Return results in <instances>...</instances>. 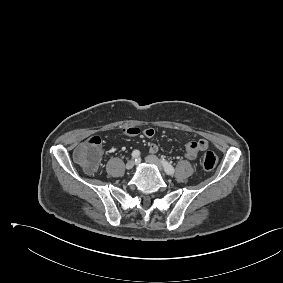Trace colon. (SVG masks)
Masks as SVG:
<instances>
[{
	"instance_id": "colon-1",
	"label": "colon",
	"mask_w": 283,
	"mask_h": 283,
	"mask_svg": "<svg viewBox=\"0 0 283 283\" xmlns=\"http://www.w3.org/2000/svg\"><path fill=\"white\" fill-rule=\"evenodd\" d=\"M100 153L101 139L99 136L93 135L76 148L74 157L85 170L94 173L99 168ZM217 162L218 157L212 151H207L202 157V167L207 171L214 169Z\"/></svg>"
}]
</instances>
